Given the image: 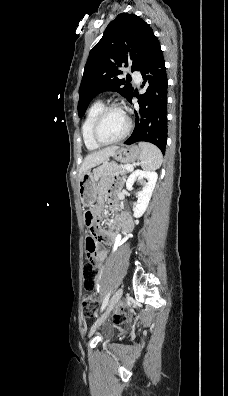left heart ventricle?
I'll return each mask as SVG.
<instances>
[{"label": "left heart ventricle", "instance_id": "obj_1", "mask_svg": "<svg viewBox=\"0 0 228 396\" xmlns=\"http://www.w3.org/2000/svg\"><path fill=\"white\" fill-rule=\"evenodd\" d=\"M127 127L126 115L119 109L110 110L100 125V137L109 141L121 136Z\"/></svg>", "mask_w": 228, "mask_h": 396}]
</instances>
